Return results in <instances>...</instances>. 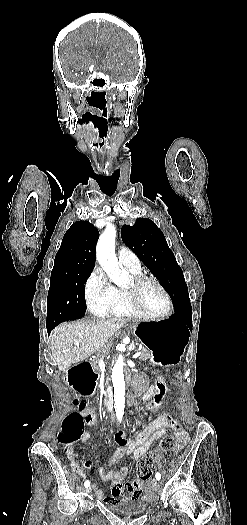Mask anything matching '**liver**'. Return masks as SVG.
I'll list each match as a JSON object with an SVG mask.
<instances>
[{
  "instance_id": "obj_1",
  "label": "liver",
  "mask_w": 247,
  "mask_h": 525,
  "mask_svg": "<svg viewBox=\"0 0 247 525\" xmlns=\"http://www.w3.org/2000/svg\"><path fill=\"white\" fill-rule=\"evenodd\" d=\"M123 327V321L94 319L61 323L50 335V353L58 371L86 361L97 351H103L108 339ZM79 343V345H76Z\"/></svg>"
}]
</instances>
